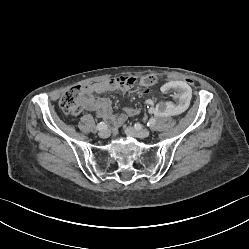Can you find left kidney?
<instances>
[{
	"label": "left kidney",
	"mask_w": 249,
	"mask_h": 249,
	"mask_svg": "<svg viewBox=\"0 0 249 249\" xmlns=\"http://www.w3.org/2000/svg\"><path fill=\"white\" fill-rule=\"evenodd\" d=\"M163 98L150 106L154 116L170 117L184 114L192 104L193 93L190 84L182 79L165 81L160 86ZM173 98V99H172Z\"/></svg>",
	"instance_id": "obj_1"
}]
</instances>
